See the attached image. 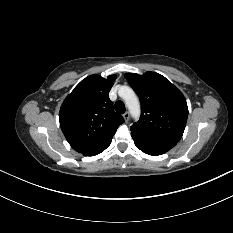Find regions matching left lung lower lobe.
Listing matches in <instances>:
<instances>
[{"mask_svg": "<svg viewBox=\"0 0 233 233\" xmlns=\"http://www.w3.org/2000/svg\"><path fill=\"white\" fill-rule=\"evenodd\" d=\"M131 135L138 149L153 156L164 154L177 144L170 140L137 136L132 132Z\"/></svg>", "mask_w": 233, "mask_h": 233, "instance_id": "obj_1", "label": "left lung lower lobe"}]
</instances>
